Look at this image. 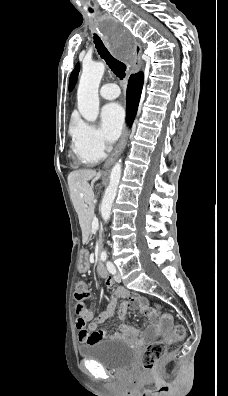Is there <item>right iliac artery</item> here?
Masks as SVG:
<instances>
[{
  "mask_svg": "<svg viewBox=\"0 0 228 396\" xmlns=\"http://www.w3.org/2000/svg\"><path fill=\"white\" fill-rule=\"evenodd\" d=\"M106 259H107V254H106V252H102V254H101V260H102L103 262H105Z\"/></svg>",
  "mask_w": 228,
  "mask_h": 396,
  "instance_id": "82829eb1",
  "label": "right iliac artery"
}]
</instances>
